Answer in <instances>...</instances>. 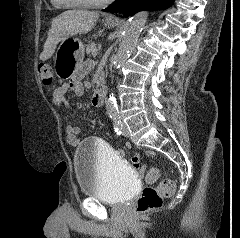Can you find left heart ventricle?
Listing matches in <instances>:
<instances>
[{"mask_svg": "<svg viewBox=\"0 0 240 238\" xmlns=\"http://www.w3.org/2000/svg\"><path fill=\"white\" fill-rule=\"evenodd\" d=\"M69 1H80V2H98L101 0H69Z\"/></svg>", "mask_w": 240, "mask_h": 238, "instance_id": "b2bd125f", "label": "left heart ventricle"}]
</instances>
